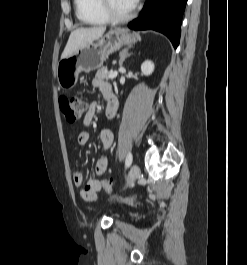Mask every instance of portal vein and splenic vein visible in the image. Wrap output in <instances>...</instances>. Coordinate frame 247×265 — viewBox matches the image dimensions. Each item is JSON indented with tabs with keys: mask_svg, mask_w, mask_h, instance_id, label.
Returning <instances> with one entry per match:
<instances>
[{
	"mask_svg": "<svg viewBox=\"0 0 247 265\" xmlns=\"http://www.w3.org/2000/svg\"><path fill=\"white\" fill-rule=\"evenodd\" d=\"M117 71H112L110 74H109V78H115L117 76Z\"/></svg>",
	"mask_w": 247,
	"mask_h": 265,
	"instance_id": "portal-vein-and-splenic-vein-1",
	"label": "portal vein and splenic vein"
}]
</instances>
